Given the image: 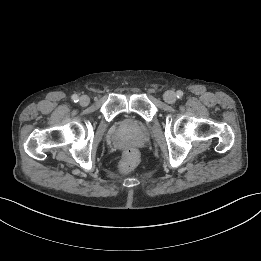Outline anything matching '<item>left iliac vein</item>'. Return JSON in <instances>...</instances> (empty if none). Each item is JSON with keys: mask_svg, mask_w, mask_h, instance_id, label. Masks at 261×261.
<instances>
[{"mask_svg": "<svg viewBox=\"0 0 261 261\" xmlns=\"http://www.w3.org/2000/svg\"><path fill=\"white\" fill-rule=\"evenodd\" d=\"M164 100L169 104H173L177 100L176 94L173 91H167L164 94Z\"/></svg>", "mask_w": 261, "mask_h": 261, "instance_id": "1", "label": "left iliac vein"}]
</instances>
